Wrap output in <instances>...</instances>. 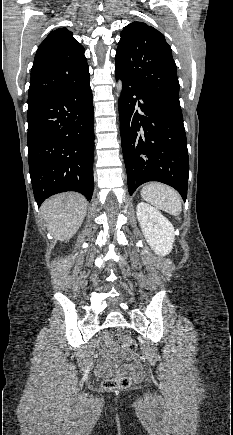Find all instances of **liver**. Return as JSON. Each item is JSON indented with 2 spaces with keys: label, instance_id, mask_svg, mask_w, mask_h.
Returning <instances> with one entry per match:
<instances>
[{
  "label": "liver",
  "instance_id": "obj_1",
  "mask_svg": "<svg viewBox=\"0 0 233 435\" xmlns=\"http://www.w3.org/2000/svg\"><path fill=\"white\" fill-rule=\"evenodd\" d=\"M86 211V199L74 192L52 196L41 206L48 231L59 241H66L74 236L85 218Z\"/></svg>",
  "mask_w": 233,
  "mask_h": 435
}]
</instances>
